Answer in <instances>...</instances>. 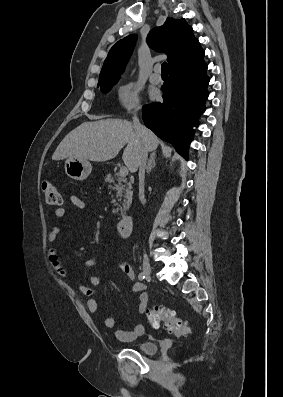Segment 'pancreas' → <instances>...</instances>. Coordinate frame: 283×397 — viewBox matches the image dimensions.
Returning a JSON list of instances; mask_svg holds the SVG:
<instances>
[{"instance_id":"obj_1","label":"pancreas","mask_w":283,"mask_h":397,"mask_svg":"<svg viewBox=\"0 0 283 397\" xmlns=\"http://www.w3.org/2000/svg\"><path fill=\"white\" fill-rule=\"evenodd\" d=\"M105 181L109 183V188L116 191V197L119 201L124 198L122 202L123 208L120 207L115 210L116 213L120 211L121 215H123L125 209L129 207L132 202L131 184L128 183L126 178L124 176H121L119 173L114 174V176L108 175L105 178Z\"/></svg>"}]
</instances>
